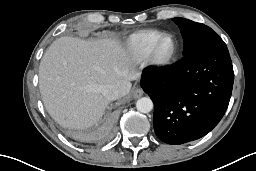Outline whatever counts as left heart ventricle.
Segmentation results:
<instances>
[{
  "label": "left heart ventricle",
  "instance_id": "obj_1",
  "mask_svg": "<svg viewBox=\"0 0 256 171\" xmlns=\"http://www.w3.org/2000/svg\"><path fill=\"white\" fill-rule=\"evenodd\" d=\"M172 48V42L171 40L167 39L165 40L162 45L160 46L159 53L161 56H166L169 54Z\"/></svg>",
  "mask_w": 256,
  "mask_h": 171
}]
</instances>
